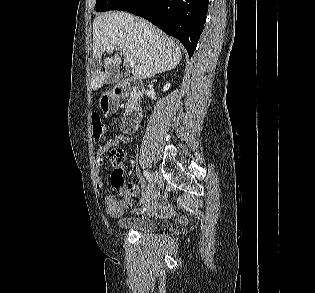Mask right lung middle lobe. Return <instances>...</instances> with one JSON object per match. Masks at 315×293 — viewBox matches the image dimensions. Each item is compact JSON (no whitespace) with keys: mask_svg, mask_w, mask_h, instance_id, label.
<instances>
[{"mask_svg":"<svg viewBox=\"0 0 315 293\" xmlns=\"http://www.w3.org/2000/svg\"><path fill=\"white\" fill-rule=\"evenodd\" d=\"M120 1L121 0H97L96 1V10L100 11V12L111 10Z\"/></svg>","mask_w":315,"mask_h":293,"instance_id":"dd1d6c3e","label":"right lung middle lobe"}]
</instances>
